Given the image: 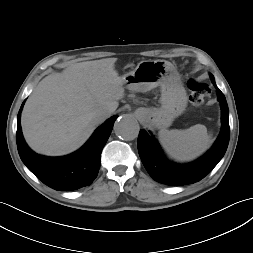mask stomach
<instances>
[{"label":"stomach","instance_id":"1","mask_svg":"<svg viewBox=\"0 0 253 253\" xmlns=\"http://www.w3.org/2000/svg\"><path fill=\"white\" fill-rule=\"evenodd\" d=\"M128 89L147 92L161 87V107L141 109V120L154 128L165 129L180 116L188 102L187 93L176 68L165 60H144L123 77Z\"/></svg>","mask_w":253,"mask_h":253}]
</instances>
